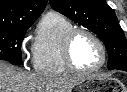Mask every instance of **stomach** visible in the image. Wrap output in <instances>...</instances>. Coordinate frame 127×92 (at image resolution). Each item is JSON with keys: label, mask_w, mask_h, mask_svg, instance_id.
<instances>
[{"label": "stomach", "mask_w": 127, "mask_h": 92, "mask_svg": "<svg viewBox=\"0 0 127 92\" xmlns=\"http://www.w3.org/2000/svg\"><path fill=\"white\" fill-rule=\"evenodd\" d=\"M105 80L100 79L97 76H90L84 78L77 86L78 92H101L102 87L105 84Z\"/></svg>", "instance_id": "0dacf381"}]
</instances>
